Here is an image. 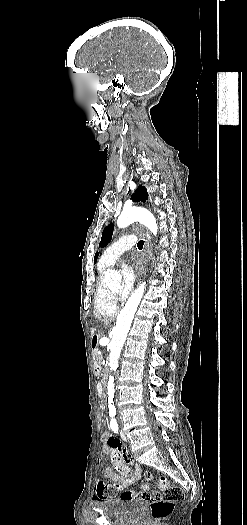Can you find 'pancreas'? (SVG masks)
I'll return each mask as SVG.
<instances>
[{"label":"pancreas","mask_w":247,"mask_h":525,"mask_svg":"<svg viewBox=\"0 0 247 525\" xmlns=\"http://www.w3.org/2000/svg\"><path fill=\"white\" fill-rule=\"evenodd\" d=\"M98 352H100V349H95L94 360L96 361H99L101 359V356L100 354H98Z\"/></svg>","instance_id":"obj_1"}]
</instances>
